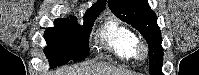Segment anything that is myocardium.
I'll return each mask as SVG.
<instances>
[{
	"instance_id": "myocardium-1",
	"label": "myocardium",
	"mask_w": 199,
	"mask_h": 75,
	"mask_svg": "<svg viewBox=\"0 0 199 75\" xmlns=\"http://www.w3.org/2000/svg\"><path fill=\"white\" fill-rule=\"evenodd\" d=\"M134 53L138 60H145L149 55V48L146 41L137 39L134 43Z\"/></svg>"
}]
</instances>
